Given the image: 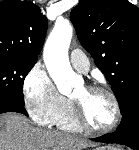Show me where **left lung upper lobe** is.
Wrapping results in <instances>:
<instances>
[{"mask_svg":"<svg viewBox=\"0 0 139 150\" xmlns=\"http://www.w3.org/2000/svg\"><path fill=\"white\" fill-rule=\"evenodd\" d=\"M70 19L123 110L139 94V8L128 0H81Z\"/></svg>","mask_w":139,"mask_h":150,"instance_id":"obj_1","label":"left lung upper lobe"}]
</instances>
